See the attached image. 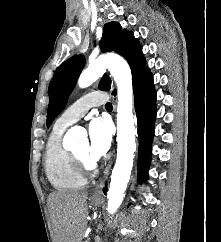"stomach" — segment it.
<instances>
[{
    "mask_svg": "<svg viewBox=\"0 0 221 242\" xmlns=\"http://www.w3.org/2000/svg\"><path fill=\"white\" fill-rule=\"evenodd\" d=\"M91 202L95 205H98L100 203L99 199H91Z\"/></svg>",
    "mask_w": 221,
    "mask_h": 242,
    "instance_id": "0dacf381",
    "label": "stomach"
}]
</instances>
